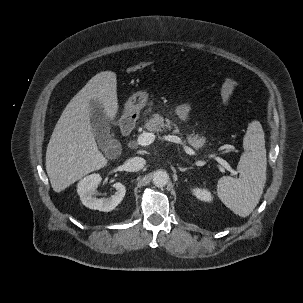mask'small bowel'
Listing matches in <instances>:
<instances>
[{"mask_svg":"<svg viewBox=\"0 0 303 303\" xmlns=\"http://www.w3.org/2000/svg\"><path fill=\"white\" fill-rule=\"evenodd\" d=\"M189 114V107L188 105H181L177 109V115L181 120H186Z\"/></svg>","mask_w":303,"mask_h":303,"instance_id":"1","label":"small bowel"}]
</instances>
